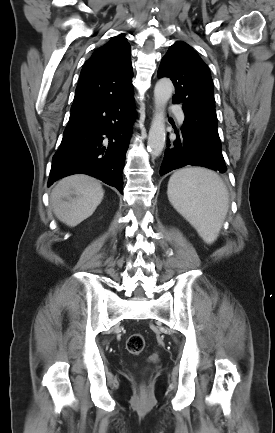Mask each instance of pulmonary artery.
<instances>
[{"label":"pulmonary artery","instance_id":"1","mask_svg":"<svg viewBox=\"0 0 275 433\" xmlns=\"http://www.w3.org/2000/svg\"><path fill=\"white\" fill-rule=\"evenodd\" d=\"M178 110H179L178 105L173 104V105H171V106L169 107V111H170V112L177 113ZM177 118H178V121H179L180 123H182V122L184 121L185 116H184L183 113H180V112H179V113H177Z\"/></svg>","mask_w":275,"mask_h":433}]
</instances>
